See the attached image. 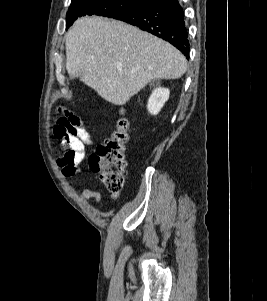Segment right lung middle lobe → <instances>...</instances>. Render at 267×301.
I'll list each match as a JSON object with an SVG mask.
<instances>
[{
    "label": "right lung middle lobe",
    "mask_w": 267,
    "mask_h": 301,
    "mask_svg": "<svg viewBox=\"0 0 267 301\" xmlns=\"http://www.w3.org/2000/svg\"><path fill=\"white\" fill-rule=\"evenodd\" d=\"M145 4L143 0H72L66 15V25H72L78 17L85 15L96 14L113 18Z\"/></svg>",
    "instance_id": "obj_1"
}]
</instances>
